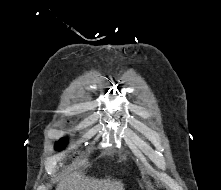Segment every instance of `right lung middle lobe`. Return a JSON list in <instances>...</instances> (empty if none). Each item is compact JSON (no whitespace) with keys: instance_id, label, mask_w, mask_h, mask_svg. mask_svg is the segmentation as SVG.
<instances>
[{"instance_id":"dd1d6c3e","label":"right lung middle lobe","mask_w":221,"mask_h":190,"mask_svg":"<svg viewBox=\"0 0 221 190\" xmlns=\"http://www.w3.org/2000/svg\"><path fill=\"white\" fill-rule=\"evenodd\" d=\"M67 140L66 139H62L58 142V144L55 145V149L59 150L61 148H63L64 146H66Z\"/></svg>"}]
</instances>
